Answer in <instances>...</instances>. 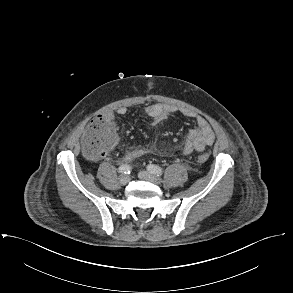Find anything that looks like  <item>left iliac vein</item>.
I'll list each match as a JSON object with an SVG mask.
<instances>
[{
    "instance_id": "4c4485c4",
    "label": "left iliac vein",
    "mask_w": 293,
    "mask_h": 293,
    "mask_svg": "<svg viewBox=\"0 0 293 293\" xmlns=\"http://www.w3.org/2000/svg\"><path fill=\"white\" fill-rule=\"evenodd\" d=\"M138 176L140 179L149 181L156 185H159L161 183V179L159 177L154 176L152 173L148 171H141L139 172Z\"/></svg>"
}]
</instances>
